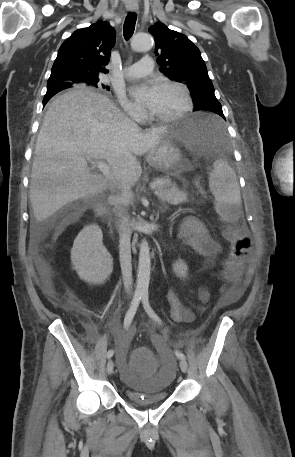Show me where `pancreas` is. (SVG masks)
I'll return each mask as SVG.
<instances>
[{
	"label": "pancreas",
	"mask_w": 295,
	"mask_h": 457,
	"mask_svg": "<svg viewBox=\"0 0 295 457\" xmlns=\"http://www.w3.org/2000/svg\"><path fill=\"white\" fill-rule=\"evenodd\" d=\"M161 181L162 184L156 188L158 198L164 203L179 204L188 200L185 191L179 190L169 178L156 179L155 182Z\"/></svg>",
	"instance_id": "cf45deb5"
}]
</instances>
